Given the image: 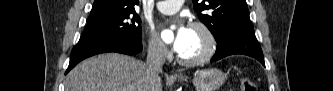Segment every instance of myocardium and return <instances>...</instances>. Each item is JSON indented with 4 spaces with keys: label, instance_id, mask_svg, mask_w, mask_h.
Instances as JSON below:
<instances>
[{
    "label": "myocardium",
    "instance_id": "f54148a6",
    "mask_svg": "<svg viewBox=\"0 0 333 91\" xmlns=\"http://www.w3.org/2000/svg\"><path fill=\"white\" fill-rule=\"evenodd\" d=\"M190 28L199 30L204 35L206 40V46L204 51L195 58H185L179 54L177 57L178 62L185 66H195L207 62L214 56L217 49V41L215 35L209 28V26H207L203 22L195 21L190 24Z\"/></svg>",
    "mask_w": 333,
    "mask_h": 91
}]
</instances>
